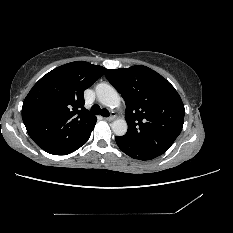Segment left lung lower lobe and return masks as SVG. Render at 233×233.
<instances>
[{"label":"left lung lower lobe","instance_id":"1","mask_svg":"<svg viewBox=\"0 0 233 233\" xmlns=\"http://www.w3.org/2000/svg\"><path fill=\"white\" fill-rule=\"evenodd\" d=\"M116 143L118 147L128 156L138 159V160H151L158 156H160L157 153L149 152L142 150L140 148L135 147L122 137H115Z\"/></svg>","mask_w":233,"mask_h":233}]
</instances>
